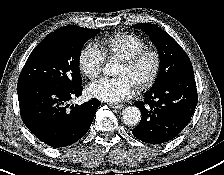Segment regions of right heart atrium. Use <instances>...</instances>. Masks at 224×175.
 I'll return each mask as SVG.
<instances>
[{"mask_svg": "<svg viewBox=\"0 0 224 175\" xmlns=\"http://www.w3.org/2000/svg\"><path fill=\"white\" fill-rule=\"evenodd\" d=\"M105 60V52L95 43H89L80 53L79 66L88 78L94 79L101 74Z\"/></svg>", "mask_w": 224, "mask_h": 175, "instance_id": "obj_1", "label": "right heart atrium"}]
</instances>
